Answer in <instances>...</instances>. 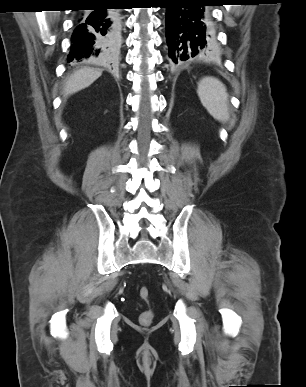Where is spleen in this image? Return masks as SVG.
I'll list each match as a JSON object with an SVG mask.
<instances>
[{
    "label": "spleen",
    "instance_id": "spleen-1",
    "mask_svg": "<svg viewBox=\"0 0 306 387\" xmlns=\"http://www.w3.org/2000/svg\"><path fill=\"white\" fill-rule=\"evenodd\" d=\"M197 93L202 105L214 119L220 122L228 120V94L221 81L205 77L199 82Z\"/></svg>",
    "mask_w": 306,
    "mask_h": 387
}]
</instances>
